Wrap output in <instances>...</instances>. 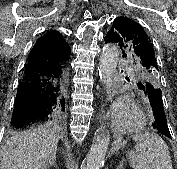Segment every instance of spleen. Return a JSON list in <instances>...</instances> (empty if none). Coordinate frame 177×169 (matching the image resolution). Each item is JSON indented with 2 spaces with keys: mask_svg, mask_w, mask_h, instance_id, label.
<instances>
[{
  "mask_svg": "<svg viewBox=\"0 0 177 169\" xmlns=\"http://www.w3.org/2000/svg\"><path fill=\"white\" fill-rule=\"evenodd\" d=\"M133 140L135 150L129 152L133 169H173L168 146L159 135L145 132Z\"/></svg>",
  "mask_w": 177,
  "mask_h": 169,
  "instance_id": "obj_1",
  "label": "spleen"
}]
</instances>
